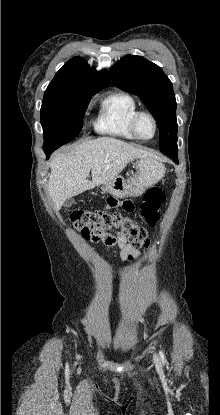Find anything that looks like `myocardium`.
<instances>
[{
    "instance_id": "1",
    "label": "myocardium",
    "mask_w": 220,
    "mask_h": 415,
    "mask_svg": "<svg viewBox=\"0 0 220 415\" xmlns=\"http://www.w3.org/2000/svg\"><path fill=\"white\" fill-rule=\"evenodd\" d=\"M141 116H148V117L152 120V122H153V124H154V134H153V136H152L151 138H143V137H141V136L139 135V133H138V130H137V122H138V119H139ZM130 128H131V131H132L133 135H134V136H135L138 140H141V141H149V140L154 139V138L156 137L157 133H158V122H157L156 117H155L152 113H150V112H148V111H137V112H136V113L132 116V118H131Z\"/></svg>"
}]
</instances>
